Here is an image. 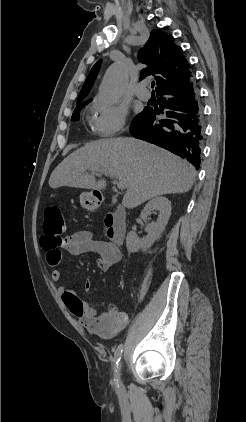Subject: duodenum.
<instances>
[{
    "label": "duodenum",
    "mask_w": 246,
    "mask_h": 422,
    "mask_svg": "<svg viewBox=\"0 0 246 422\" xmlns=\"http://www.w3.org/2000/svg\"><path fill=\"white\" fill-rule=\"evenodd\" d=\"M107 235L115 244H121L126 233V211L122 206H117L105 217Z\"/></svg>",
    "instance_id": "410a0bca"
}]
</instances>
